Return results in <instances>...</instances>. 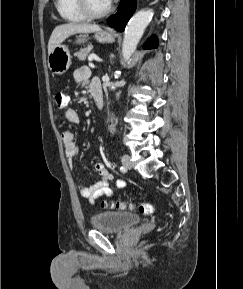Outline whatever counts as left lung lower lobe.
Returning a JSON list of instances; mask_svg holds the SVG:
<instances>
[{"instance_id":"left-lung-lower-lobe-1","label":"left lung lower lobe","mask_w":243,"mask_h":289,"mask_svg":"<svg viewBox=\"0 0 243 289\" xmlns=\"http://www.w3.org/2000/svg\"><path fill=\"white\" fill-rule=\"evenodd\" d=\"M137 6L136 0H121L120 6L117 11V13L113 16H110L107 20L108 24L111 27H115L119 31H123L128 20L132 16V14L135 12ZM158 41L153 36L145 43L144 48L145 49H154L157 48Z\"/></svg>"}]
</instances>
